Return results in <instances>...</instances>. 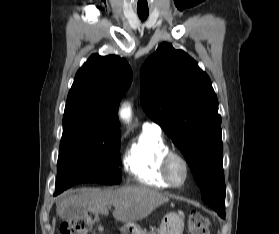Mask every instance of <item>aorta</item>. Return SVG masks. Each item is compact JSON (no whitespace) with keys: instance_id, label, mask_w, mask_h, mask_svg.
<instances>
[{"instance_id":"aorta-1","label":"aorta","mask_w":279,"mask_h":234,"mask_svg":"<svg viewBox=\"0 0 279 234\" xmlns=\"http://www.w3.org/2000/svg\"><path fill=\"white\" fill-rule=\"evenodd\" d=\"M119 114L125 122L129 123L131 119V107L127 104H123Z\"/></svg>"}]
</instances>
